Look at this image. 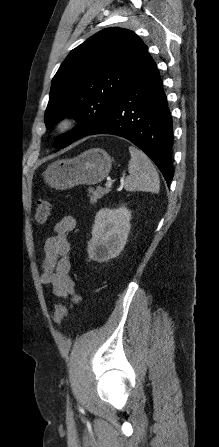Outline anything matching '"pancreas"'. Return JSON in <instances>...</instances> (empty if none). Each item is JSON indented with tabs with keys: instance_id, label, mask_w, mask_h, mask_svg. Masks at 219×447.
I'll return each mask as SVG.
<instances>
[{
	"instance_id": "pancreas-1",
	"label": "pancreas",
	"mask_w": 219,
	"mask_h": 447,
	"mask_svg": "<svg viewBox=\"0 0 219 447\" xmlns=\"http://www.w3.org/2000/svg\"><path fill=\"white\" fill-rule=\"evenodd\" d=\"M109 191L110 189L102 187H97L96 190L89 189L88 192L90 197V203L91 204L97 203L98 199H101L104 195L109 193Z\"/></svg>"
}]
</instances>
